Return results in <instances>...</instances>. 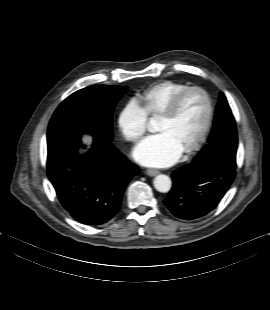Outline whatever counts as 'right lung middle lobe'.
I'll list each match as a JSON object with an SVG mask.
<instances>
[{
    "mask_svg": "<svg viewBox=\"0 0 270 310\" xmlns=\"http://www.w3.org/2000/svg\"><path fill=\"white\" fill-rule=\"evenodd\" d=\"M126 91L125 87L110 85H93L76 91L56 109L47 137H80L90 133L96 139L110 142L113 109Z\"/></svg>",
    "mask_w": 270,
    "mask_h": 310,
    "instance_id": "dd1d6c3e",
    "label": "right lung middle lobe"
}]
</instances>
